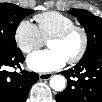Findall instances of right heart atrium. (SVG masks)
Masks as SVG:
<instances>
[{
	"label": "right heart atrium",
	"mask_w": 102,
	"mask_h": 102,
	"mask_svg": "<svg viewBox=\"0 0 102 102\" xmlns=\"http://www.w3.org/2000/svg\"><path fill=\"white\" fill-rule=\"evenodd\" d=\"M14 40L23 53H30L44 43L37 26L29 19H22L14 31Z\"/></svg>",
	"instance_id": "right-heart-atrium-1"
}]
</instances>
